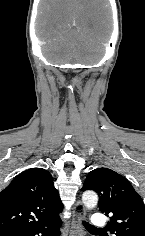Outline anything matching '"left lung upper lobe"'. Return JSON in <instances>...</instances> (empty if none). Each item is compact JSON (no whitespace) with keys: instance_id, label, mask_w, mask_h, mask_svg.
Segmentation results:
<instances>
[{"instance_id":"obj_1","label":"left lung upper lobe","mask_w":145,"mask_h":236,"mask_svg":"<svg viewBox=\"0 0 145 236\" xmlns=\"http://www.w3.org/2000/svg\"><path fill=\"white\" fill-rule=\"evenodd\" d=\"M82 190L99 195V209L110 215L108 230L115 236H145V209L130 182L108 168L89 172ZM108 236V234H106Z\"/></svg>"}]
</instances>
